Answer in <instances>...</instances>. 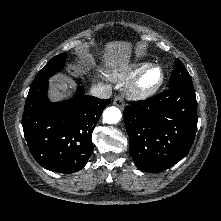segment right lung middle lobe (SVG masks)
I'll return each instance as SVG.
<instances>
[{"mask_svg": "<svg viewBox=\"0 0 221 221\" xmlns=\"http://www.w3.org/2000/svg\"><path fill=\"white\" fill-rule=\"evenodd\" d=\"M66 60V54L62 53L55 57H53L45 67H43L38 74L36 75L33 84L39 83L40 81L44 80L45 78H48L52 76L55 72L63 69V64Z\"/></svg>", "mask_w": 221, "mask_h": 221, "instance_id": "1", "label": "right lung middle lobe"}]
</instances>
